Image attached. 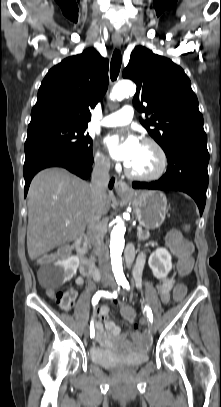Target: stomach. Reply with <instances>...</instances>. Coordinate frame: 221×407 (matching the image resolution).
<instances>
[{"label":"stomach","instance_id":"1","mask_svg":"<svg viewBox=\"0 0 221 407\" xmlns=\"http://www.w3.org/2000/svg\"><path fill=\"white\" fill-rule=\"evenodd\" d=\"M134 205L139 224L146 229H156L162 225L167 213V199L164 193L157 190L133 193Z\"/></svg>","mask_w":221,"mask_h":407}]
</instances>
